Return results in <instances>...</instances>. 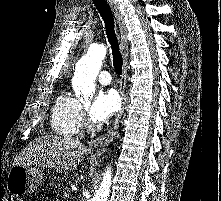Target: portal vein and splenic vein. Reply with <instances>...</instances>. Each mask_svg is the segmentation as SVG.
Returning <instances> with one entry per match:
<instances>
[{"label": "portal vein and splenic vein", "mask_w": 221, "mask_h": 201, "mask_svg": "<svg viewBox=\"0 0 221 201\" xmlns=\"http://www.w3.org/2000/svg\"><path fill=\"white\" fill-rule=\"evenodd\" d=\"M64 196H65V198L69 197V195H68V194H65Z\"/></svg>", "instance_id": "1"}]
</instances>
